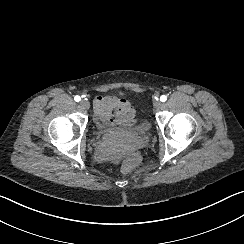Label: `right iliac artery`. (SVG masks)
<instances>
[{
  "label": "right iliac artery",
  "mask_w": 244,
  "mask_h": 244,
  "mask_svg": "<svg viewBox=\"0 0 244 244\" xmlns=\"http://www.w3.org/2000/svg\"><path fill=\"white\" fill-rule=\"evenodd\" d=\"M74 100H75L76 102H79V101L81 100V98H80V96L77 95V96L74 97Z\"/></svg>",
  "instance_id": "1"
}]
</instances>
